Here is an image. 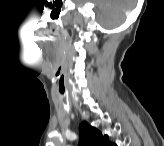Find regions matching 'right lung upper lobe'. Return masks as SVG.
Here are the masks:
<instances>
[{
  "label": "right lung upper lobe",
  "instance_id": "obj_1",
  "mask_svg": "<svg viewBox=\"0 0 164 146\" xmlns=\"http://www.w3.org/2000/svg\"><path fill=\"white\" fill-rule=\"evenodd\" d=\"M80 145L86 146H110L108 136H102L101 132L90 126L87 122H83L80 126Z\"/></svg>",
  "mask_w": 164,
  "mask_h": 146
}]
</instances>
